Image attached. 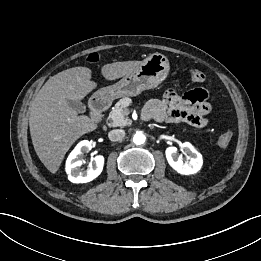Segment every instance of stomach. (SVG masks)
Masks as SVG:
<instances>
[{"label": "stomach", "instance_id": "stomach-1", "mask_svg": "<svg viewBox=\"0 0 261 261\" xmlns=\"http://www.w3.org/2000/svg\"><path fill=\"white\" fill-rule=\"evenodd\" d=\"M169 69V61L165 55L151 54L133 72L123 76L117 83L101 88L94 96L108 100L137 96L162 83L167 78Z\"/></svg>", "mask_w": 261, "mask_h": 261}]
</instances>
